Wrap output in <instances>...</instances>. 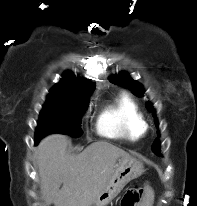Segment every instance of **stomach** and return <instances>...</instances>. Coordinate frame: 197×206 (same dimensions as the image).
Masks as SVG:
<instances>
[{"label":"stomach","instance_id":"0dacf381","mask_svg":"<svg viewBox=\"0 0 197 206\" xmlns=\"http://www.w3.org/2000/svg\"><path fill=\"white\" fill-rule=\"evenodd\" d=\"M143 172L141 162L130 156L121 157L105 187L90 206L108 205L131 180L138 178Z\"/></svg>","mask_w":197,"mask_h":206}]
</instances>
